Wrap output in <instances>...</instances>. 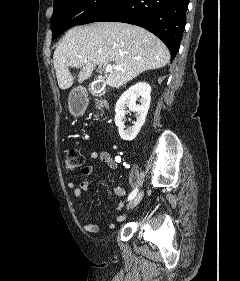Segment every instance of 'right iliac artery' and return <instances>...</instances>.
Listing matches in <instances>:
<instances>
[{
  "label": "right iliac artery",
  "instance_id": "1",
  "mask_svg": "<svg viewBox=\"0 0 240 281\" xmlns=\"http://www.w3.org/2000/svg\"><path fill=\"white\" fill-rule=\"evenodd\" d=\"M137 191H138V189L135 188V189L129 194V196H128V201L132 200V199L135 197V195L137 194Z\"/></svg>",
  "mask_w": 240,
  "mask_h": 281
}]
</instances>
